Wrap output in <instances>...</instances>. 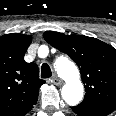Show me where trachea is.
<instances>
[{"label": "trachea", "mask_w": 116, "mask_h": 116, "mask_svg": "<svg viewBox=\"0 0 116 116\" xmlns=\"http://www.w3.org/2000/svg\"><path fill=\"white\" fill-rule=\"evenodd\" d=\"M52 76L51 69L48 64L44 63L41 66V77L42 78H50Z\"/></svg>", "instance_id": "3493384b"}]
</instances>
